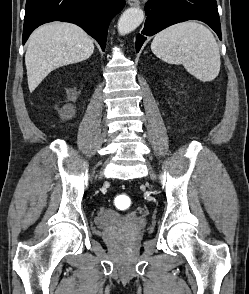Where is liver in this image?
<instances>
[{"label":"liver","instance_id":"6515ba94","mask_svg":"<svg viewBox=\"0 0 249 294\" xmlns=\"http://www.w3.org/2000/svg\"><path fill=\"white\" fill-rule=\"evenodd\" d=\"M94 52L89 35L71 23H49L28 40L25 55L28 87L33 92L53 70L88 59Z\"/></svg>","mask_w":249,"mask_h":294}]
</instances>
